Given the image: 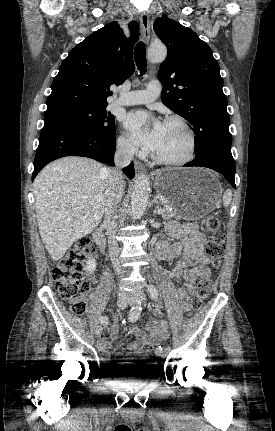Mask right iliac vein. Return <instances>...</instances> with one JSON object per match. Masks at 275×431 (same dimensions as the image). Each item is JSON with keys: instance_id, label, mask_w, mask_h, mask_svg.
Masks as SVG:
<instances>
[{"instance_id": "right-iliac-vein-1", "label": "right iliac vein", "mask_w": 275, "mask_h": 431, "mask_svg": "<svg viewBox=\"0 0 275 431\" xmlns=\"http://www.w3.org/2000/svg\"><path fill=\"white\" fill-rule=\"evenodd\" d=\"M130 301H131V298L126 293L118 294L117 305L119 308L121 309L125 308L127 304L130 303ZM101 332H102V327L99 325L96 327V330H95L96 336L97 337L100 336Z\"/></svg>"}]
</instances>
